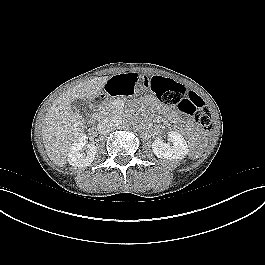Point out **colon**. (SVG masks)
<instances>
[{"label": "colon", "instance_id": "5ec220e1", "mask_svg": "<svg viewBox=\"0 0 265 265\" xmlns=\"http://www.w3.org/2000/svg\"><path fill=\"white\" fill-rule=\"evenodd\" d=\"M151 87L157 99L167 106H176L181 112L193 115L196 123L203 129L212 127L211 113L203 99L194 92L169 78L156 76Z\"/></svg>", "mask_w": 265, "mask_h": 265}]
</instances>
